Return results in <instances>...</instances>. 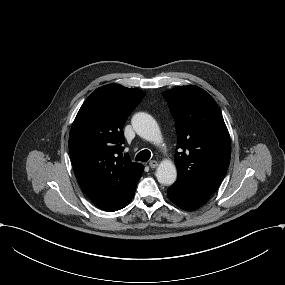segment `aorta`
<instances>
[{"instance_id":"1","label":"aorta","mask_w":285,"mask_h":285,"mask_svg":"<svg viewBox=\"0 0 285 285\" xmlns=\"http://www.w3.org/2000/svg\"><path fill=\"white\" fill-rule=\"evenodd\" d=\"M134 131L140 137L155 144H161L162 134L155 119L147 113H136L131 120ZM156 178L160 184L172 185L177 178V169L169 160H163L156 170Z\"/></svg>"}]
</instances>
